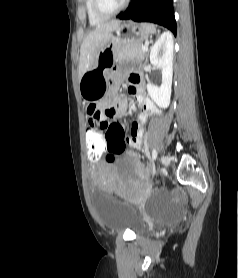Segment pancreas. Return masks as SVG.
I'll return each instance as SVG.
<instances>
[{
  "label": "pancreas",
  "instance_id": "cf45deb5",
  "mask_svg": "<svg viewBox=\"0 0 238 278\" xmlns=\"http://www.w3.org/2000/svg\"><path fill=\"white\" fill-rule=\"evenodd\" d=\"M141 43H133L124 45L121 47L116 54V59L119 60H128V59H137L141 60L145 56V52L141 49Z\"/></svg>",
  "mask_w": 238,
  "mask_h": 278
}]
</instances>
